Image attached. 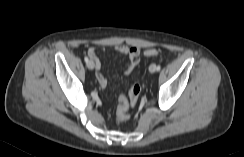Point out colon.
<instances>
[{
  "instance_id": "5ec220e1",
  "label": "colon",
  "mask_w": 244,
  "mask_h": 157,
  "mask_svg": "<svg viewBox=\"0 0 244 157\" xmlns=\"http://www.w3.org/2000/svg\"><path fill=\"white\" fill-rule=\"evenodd\" d=\"M158 50L148 49L145 51V55L148 57H155L158 55ZM141 92V86L138 83H135L130 88L128 97L120 96L117 101V111L116 117L120 122L126 121L129 118V108L134 106L138 100V97Z\"/></svg>"
}]
</instances>
